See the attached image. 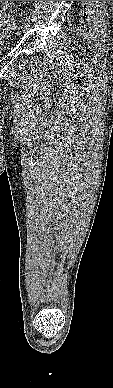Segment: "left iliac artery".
Here are the masks:
<instances>
[{"label": "left iliac artery", "instance_id": "1", "mask_svg": "<svg viewBox=\"0 0 113 388\" xmlns=\"http://www.w3.org/2000/svg\"><path fill=\"white\" fill-rule=\"evenodd\" d=\"M30 19V17L26 16L25 17V21H28Z\"/></svg>", "mask_w": 113, "mask_h": 388}]
</instances>
